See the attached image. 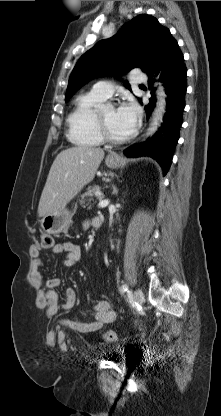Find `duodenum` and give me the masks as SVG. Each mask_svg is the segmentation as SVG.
<instances>
[{
  "mask_svg": "<svg viewBox=\"0 0 221 416\" xmlns=\"http://www.w3.org/2000/svg\"><path fill=\"white\" fill-rule=\"evenodd\" d=\"M101 224H102V221H101V219H98V223H97V226L99 227V226H101Z\"/></svg>",
  "mask_w": 221,
  "mask_h": 416,
  "instance_id": "1",
  "label": "duodenum"
}]
</instances>
